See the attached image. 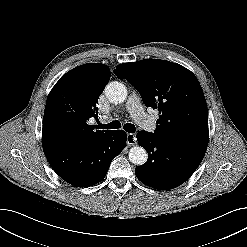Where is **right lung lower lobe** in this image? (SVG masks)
<instances>
[{
    "label": "right lung lower lobe",
    "mask_w": 247,
    "mask_h": 247,
    "mask_svg": "<svg viewBox=\"0 0 247 247\" xmlns=\"http://www.w3.org/2000/svg\"><path fill=\"white\" fill-rule=\"evenodd\" d=\"M123 130L111 131L83 148L62 146L43 139L44 154L53 170L71 185L86 187L100 182L113 158L126 146Z\"/></svg>",
    "instance_id": "98d812e1"
}]
</instances>
